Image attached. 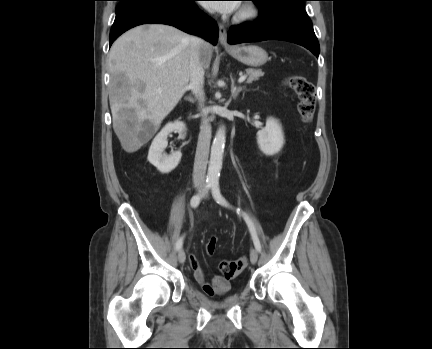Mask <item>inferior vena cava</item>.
Wrapping results in <instances>:
<instances>
[{
    "label": "inferior vena cava",
    "mask_w": 432,
    "mask_h": 349,
    "mask_svg": "<svg viewBox=\"0 0 432 349\" xmlns=\"http://www.w3.org/2000/svg\"><path fill=\"white\" fill-rule=\"evenodd\" d=\"M190 84L188 89H191L200 102L204 118L200 127L198 143L195 154L193 168V183L194 185H204L206 178V168L209 156V147L211 140V125L206 116L208 110L203 107L204 102V67L200 59V48L204 41L196 36L190 38Z\"/></svg>",
    "instance_id": "obj_1"
}]
</instances>
